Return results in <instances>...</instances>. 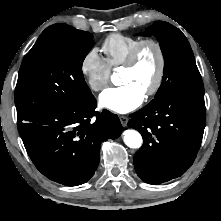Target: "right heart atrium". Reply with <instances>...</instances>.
I'll use <instances>...</instances> for the list:
<instances>
[{"label": "right heart atrium", "mask_w": 221, "mask_h": 221, "mask_svg": "<svg viewBox=\"0 0 221 221\" xmlns=\"http://www.w3.org/2000/svg\"><path fill=\"white\" fill-rule=\"evenodd\" d=\"M80 71L86 84L94 92L102 91L110 81L111 68L95 48L90 49L83 56Z\"/></svg>", "instance_id": "d8ad5b80"}]
</instances>
